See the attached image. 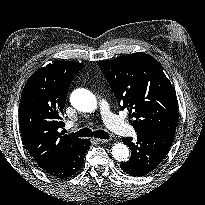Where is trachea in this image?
<instances>
[{
    "instance_id": "1",
    "label": "trachea",
    "mask_w": 205,
    "mask_h": 205,
    "mask_svg": "<svg viewBox=\"0 0 205 205\" xmlns=\"http://www.w3.org/2000/svg\"><path fill=\"white\" fill-rule=\"evenodd\" d=\"M71 136L74 137H96V138H100V139H109L110 136L107 132H105L104 130H96V131H92L89 128H82L79 131L75 132V133H71Z\"/></svg>"
}]
</instances>
